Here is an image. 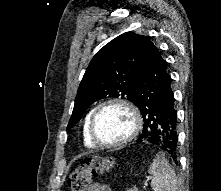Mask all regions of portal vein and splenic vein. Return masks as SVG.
<instances>
[{
  "mask_svg": "<svg viewBox=\"0 0 221 191\" xmlns=\"http://www.w3.org/2000/svg\"><path fill=\"white\" fill-rule=\"evenodd\" d=\"M147 186H148L147 182H144V183H143V188L146 189Z\"/></svg>",
  "mask_w": 221,
  "mask_h": 191,
  "instance_id": "1",
  "label": "portal vein and splenic vein"
}]
</instances>
